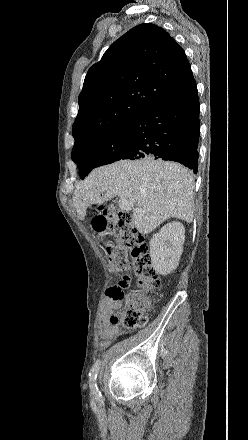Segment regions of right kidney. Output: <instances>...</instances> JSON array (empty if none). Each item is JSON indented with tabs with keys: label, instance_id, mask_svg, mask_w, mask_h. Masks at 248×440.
I'll list each match as a JSON object with an SVG mask.
<instances>
[{
	"label": "right kidney",
	"instance_id": "1",
	"mask_svg": "<svg viewBox=\"0 0 248 440\" xmlns=\"http://www.w3.org/2000/svg\"><path fill=\"white\" fill-rule=\"evenodd\" d=\"M184 240L185 228L176 221L167 223L153 235L150 241V257L157 274L167 275L177 268Z\"/></svg>",
	"mask_w": 248,
	"mask_h": 440
}]
</instances>
